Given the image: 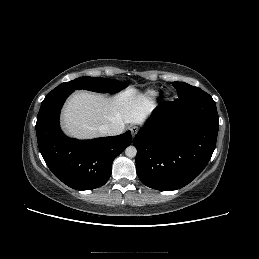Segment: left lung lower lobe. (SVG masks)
<instances>
[{
  "label": "left lung lower lobe",
  "mask_w": 259,
  "mask_h": 259,
  "mask_svg": "<svg viewBox=\"0 0 259 259\" xmlns=\"http://www.w3.org/2000/svg\"><path fill=\"white\" fill-rule=\"evenodd\" d=\"M218 128L214 100L161 102L133 139L141 182L160 191L189 184L208 164Z\"/></svg>",
  "instance_id": "0a47b994"
}]
</instances>
